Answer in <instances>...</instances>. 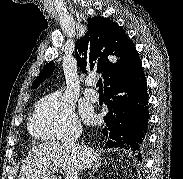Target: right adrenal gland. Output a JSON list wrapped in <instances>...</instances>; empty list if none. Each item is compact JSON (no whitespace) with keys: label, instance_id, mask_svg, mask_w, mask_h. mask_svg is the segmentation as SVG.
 <instances>
[{"label":"right adrenal gland","instance_id":"1","mask_svg":"<svg viewBox=\"0 0 183 179\" xmlns=\"http://www.w3.org/2000/svg\"><path fill=\"white\" fill-rule=\"evenodd\" d=\"M100 166H101V162H96L93 166H92V171H91V173H95L96 172V170L98 169V168H100ZM90 177H93L92 175H90Z\"/></svg>","mask_w":183,"mask_h":179}]
</instances>
